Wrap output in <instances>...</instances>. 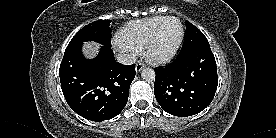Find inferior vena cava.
<instances>
[{
	"label": "inferior vena cava",
	"mask_w": 276,
	"mask_h": 138,
	"mask_svg": "<svg viewBox=\"0 0 276 138\" xmlns=\"http://www.w3.org/2000/svg\"><path fill=\"white\" fill-rule=\"evenodd\" d=\"M117 61L123 65H132L136 62V57L132 54L120 53L117 56Z\"/></svg>",
	"instance_id": "1"
}]
</instances>
